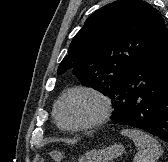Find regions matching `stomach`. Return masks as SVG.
<instances>
[{
	"instance_id": "1",
	"label": "stomach",
	"mask_w": 168,
	"mask_h": 162,
	"mask_svg": "<svg viewBox=\"0 0 168 162\" xmlns=\"http://www.w3.org/2000/svg\"><path fill=\"white\" fill-rule=\"evenodd\" d=\"M123 152L122 145L114 144L105 149L88 151L78 159V162H109L122 155Z\"/></svg>"
}]
</instances>
